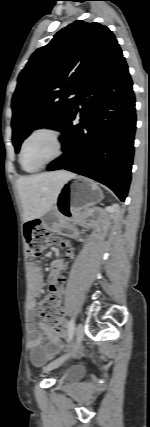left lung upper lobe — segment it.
Masks as SVG:
<instances>
[{
	"mask_svg": "<svg viewBox=\"0 0 150 427\" xmlns=\"http://www.w3.org/2000/svg\"><path fill=\"white\" fill-rule=\"evenodd\" d=\"M119 48L113 33L99 23L77 20L37 49L18 77L12 98L13 145L34 129H60L70 117L81 89ZM77 94L75 97L70 95Z\"/></svg>",
	"mask_w": 150,
	"mask_h": 427,
	"instance_id": "left-lung-upper-lobe-1",
	"label": "left lung upper lobe"
}]
</instances>
